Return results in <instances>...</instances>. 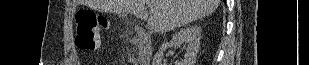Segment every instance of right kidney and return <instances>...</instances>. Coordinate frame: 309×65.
<instances>
[{
    "label": "right kidney",
    "instance_id": "1",
    "mask_svg": "<svg viewBox=\"0 0 309 65\" xmlns=\"http://www.w3.org/2000/svg\"><path fill=\"white\" fill-rule=\"evenodd\" d=\"M201 32L197 27L189 26L180 29L169 42H164L153 58V65H161L163 52L168 48H178L183 43L187 45L184 59L177 61L176 65H194L200 46Z\"/></svg>",
    "mask_w": 309,
    "mask_h": 65
}]
</instances>
